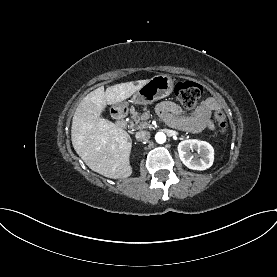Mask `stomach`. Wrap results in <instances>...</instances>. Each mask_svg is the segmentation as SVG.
<instances>
[{"label": "stomach", "mask_w": 277, "mask_h": 277, "mask_svg": "<svg viewBox=\"0 0 277 277\" xmlns=\"http://www.w3.org/2000/svg\"><path fill=\"white\" fill-rule=\"evenodd\" d=\"M173 80L168 75H156L134 93L131 102L149 104L156 99L168 96L173 90Z\"/></svg>", "instance_id": "obj_1"}]
</instances>
